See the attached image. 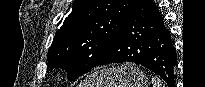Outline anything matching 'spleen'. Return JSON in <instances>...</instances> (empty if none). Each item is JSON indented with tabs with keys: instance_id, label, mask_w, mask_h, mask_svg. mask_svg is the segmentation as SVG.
I'll use <instances>...</instances> for the list:
<instances>
[{
	"instance_id": "3e777b00",
	"label": "spleen",
	"mask_w": 205,
	"mask_h": 87,
	"mask_svg": "<svg viewBox=\"0 0 205 87\" xmlns=\"http://www.w3.org/2000/svg\"><path fill=\"white\" fill-rule=\"evenodd\" d=\"M152 86L153 87H164V85L162 84L161 81H159L158 79L154 78L152 80Z\"/></svg>"
}]
</instances>
